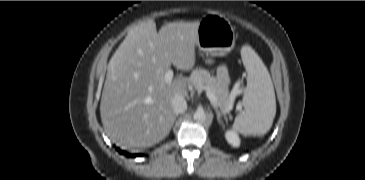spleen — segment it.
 <instances>
[{
    "mask_svg": "<svg viewBox=\"0 0 365 180\" xmlns=\"http://www.w3.org/2000/svg\"><path fill=\"white\" fill-rule=\"evenodd\" d=\"M241 56L247 72L242 99L244 111L236 116L232 129L244 136L264 135L272 127L276 114L273 83L266 66L253 49L244 47Z\"/></svg>",
    "mask_w": 365,
    "mask_h": 180,
    "instance_id": "spleen-1",
    "label": "spleen"
}]
</instances>
